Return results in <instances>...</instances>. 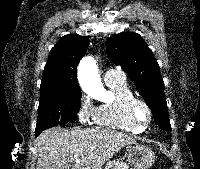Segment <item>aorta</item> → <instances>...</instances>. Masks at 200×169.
<instances>
[{"label":"aorta","mask_w":200,"mask_h":169,"mask_svg":"<svg viewBox=\"0 0 200 169\" xmlns=\"http://www.w3.org/2000/svg\"><path fill=\"white\" fill-rule=\"evenodd\" d=\"M78 80L82 89L91 96L100 98L105 93L96 61L91 56L81 60L78 67Z\"/></svg>","instance_id":"1"}]
</instances>
